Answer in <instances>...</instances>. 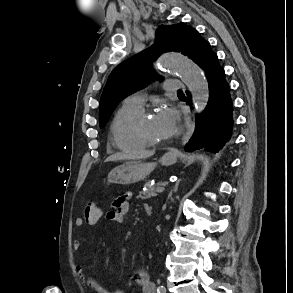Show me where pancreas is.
Segmentation results:
<instances>
[{
    "instance_id": "cf45deb5",
    "label": "pancreas",
    "mask_w": 293,
    "mask_h": 293,
    "mask_svg": "<svg viewBox=\"0 0 293 293\" xmlns=\"http://www.w3.org/2000/svg\"><path fill=\"white\" fill-rule=\"evenodd\" d=\"M163 184L164 183L159 182L155 186L146 188V190L139 192L138 198L149 199V198L157 196L156 189L162 186Z\"/></svg>"
}]
</instances>
